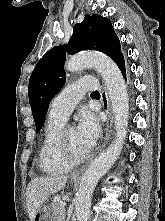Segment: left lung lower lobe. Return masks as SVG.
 I'll return each instance as SVG.
<instances>
[{"label": "left lung lower lobe", "mask_w": 165, "mask_h": 221, "mask_svg": "<svg viewBox=\"0 0 165 221\" xmlns=\"http://www.w3.org/2000/svg\"><path fill=\"white\" fill-rule=\"evenodd\" d=\"M117 66L119 67V69L121 70L122 74L124 77H126V71H125V62H124V58L121 57L117 62H116ZM105 104H106V100L104 99Z\"/></svg>", "instance_id": "1"}]
</instances>
